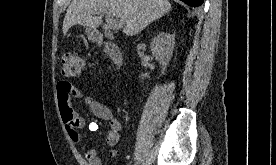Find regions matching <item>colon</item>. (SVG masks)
<instances>
[{
    "instance_id": "1",
    "label": "colon",
    "mask_w": 276,
    "mask_h": 165,
    "mask_svg": "<svg viewBox=\"0 0 276 165\" xmlns=\"http://www.w3.org/2000/svg\"><path fill=\"white\" fill-rule=\"evenodd\" d=\"M61 73L63 76L74 77L84 69L83 59L75 52H66L62 57Z\"/></svg>"
}]
</instances>
